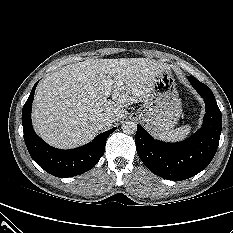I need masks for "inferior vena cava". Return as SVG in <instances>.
I'll use <instances>...</instances> for the list:
<instances>
[{"label": "inferior vena cava", "instance_id": "602c4592", "mask_svg": "<svg viewBox=\"0 0 233 233\" xmlns=\"http://www.w3.org/2000/svg\"><path fill=\"white\" fill-rule=\"evenodd\" d=\"M114 122V118L110 115H101L96 119V124L99 129L108 127Z\"/></svg>", "mask_w": 233, "mask_h": 233}]
</instances>
